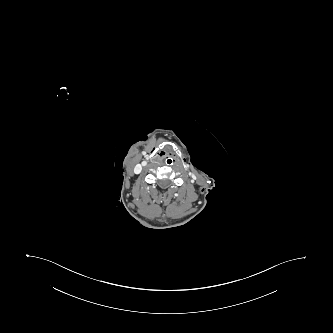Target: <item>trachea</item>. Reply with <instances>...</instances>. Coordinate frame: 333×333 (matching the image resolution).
Masks as SVG:
<instances>
[{"label": "trachea", "instance_id": "trachea-1", "mask_svg": "<svg viewBox=\"0 0 333 333\" xmlns=\"http://www.w3.org/2000/svg\"><path fill=\"white\" fill-rule=\"evenodd\" d=\"M173 162H174V159L169 154H166V155L162 156V158H161L162 165H164L166 167L171 166L173 164Z\"/></svg>", "mask_w": 333, "mask_h": 333}]
</instances>
